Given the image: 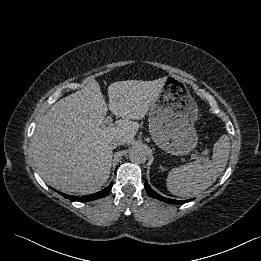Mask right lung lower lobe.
<instances>
[{
  "mask_svg": "<svg viewBox=\"0 0 261 261\" xmlns=\"http://www.w3.org/2000/svg\"><path fill=\"white\" fill-rule=\"evenodd\" d=\"M112 185H113V183H110V185L107 186L105 189H103V190H101L97 193L82 196V197L71 196V195H67V194H64V193H60V192H58V193L61 194L62 196H64L65 198L70 199L71 201L77 200V201H80V202H89L91 200H96V199H99V198L106 196L110 192Z\"/></svg>",
  "mask_w": 261,
  "mask_h": 261,
  "instance_id": "obj_1",
  "label": "right lung lower lobe"
}]
</instances>
